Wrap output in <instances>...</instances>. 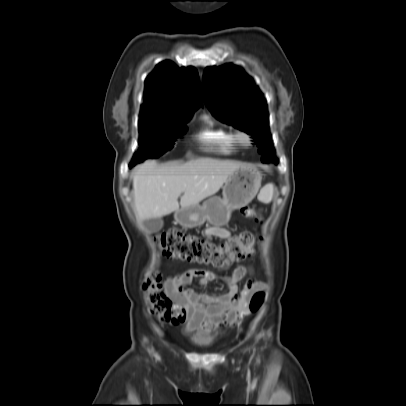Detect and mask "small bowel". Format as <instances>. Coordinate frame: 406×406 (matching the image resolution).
I'll list each match as a JSON object with an SVG mask.
<instances>
[{"label": "small bowel", "mask_w": 406, "mask_h": 406, "mask_svg": "<svg viewBox=\"0 0 406 406\" xmlns=\"http://www.w3.org/2000/svg\"><path fill=\"white\" fill-rule=\"evenodd\" d=\"M205 235L229 239L231 232L224 228L210 227L205 230ZM251 273V267L238 265L230 275L189 269L167 278L165 292L173 304V323L184 325L187 333L204 337H209L221 326L236 325L241 320V315L247 311L251 296L266 287L264 282L251 278L239 291L237 283ZM193 278H199L200 288L212 281L223 282L227 284L228 292L217 296L197 292L190 287Z\"/></svg>", "instance_id": "c3829d8e"}]
</instances>
